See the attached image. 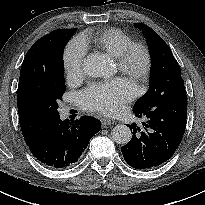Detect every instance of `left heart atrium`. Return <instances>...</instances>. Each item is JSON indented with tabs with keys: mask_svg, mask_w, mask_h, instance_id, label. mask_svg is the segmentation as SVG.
<instances>
[{
	"mask_svg": "<svg viewBox=\"0 0 205 205\" xmlns=\"http://www.w3.org/2000/svg\"><path fill=\"white\" fill-rule=\"evenodd\" d=\"M136 91L126 78L92 83L80 92L79 103L86 111L115 115L135 97Z\"/></svg>",
	"mask_w": 205,
	"mask_h": 205,
	"instance_id": "left-heart-atrium-1",
	"label": "left heart atrium"
}]
</instances>
